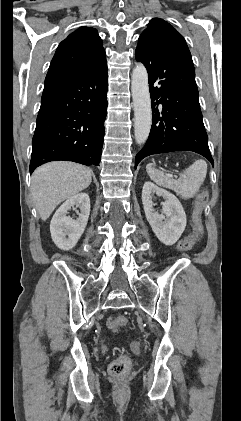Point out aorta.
Returning <instances> with one entry per match:
<instances>
[{
    "label": "aorta",
    "instance_id": "1",
    "mask_svg": "<svg viewBox=\"0 0 241 421\" xmlns=\"http://www.w3.org/2000/svg\"><path fill=\"white\" fill-rule=\"evenodd\" d=\"M131 91L134 105L135 140L141 145L146 142L152 124L148 73L142 63H138L133 69Z\"/></svg>",
    "mask_w": 241,
    "mask_h": 421
}]
</instances>
